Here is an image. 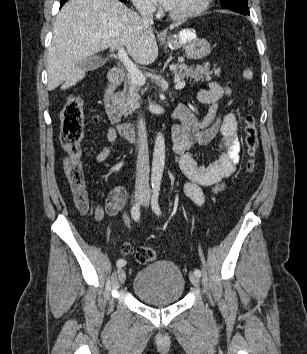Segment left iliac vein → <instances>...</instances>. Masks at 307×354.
<instances>
[{
  "label": "left iliac vein",
  "mask_w": 307,
  "mask_h": 354,
  "mask_svg": "<svg viewBox=\"0 0 307 354\" xmlns=\"http://www.w3.org/2000/svg\"><path fill=\"white\" fill-rule=\"evenodd\" d=\"M142 204L145 206V207H148L149 205V199L148 198H144ZM189 279L191 281V283L194 285V286H198L199 285V276H197L195 273L193 272H190L189 273Z\"/></svg>",
  "instance_id": "1"
}]
</instances>
